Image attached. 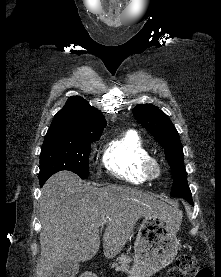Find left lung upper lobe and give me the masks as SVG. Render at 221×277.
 I'll return each mask as SVG.
<instances>
[{
	"label": "left lung upper lobe",
	"mask_w": 221,
	"mask_h": 277,
	"mask_svg": "<svg viewBox=\"0 0 221 277\" xmlns=\"http://www.w3.org/2000/svg\"><path fill=\"white\" fill-rule=\"evenodd\" d=\"M132 112L138 122L152 133L165 150L173 177L170 195L182 198L191 196L180 137L168 116L152 104L137 105Z\"/></svg>",
	"instance_id": "5c2ea615"
}]
</instances>
